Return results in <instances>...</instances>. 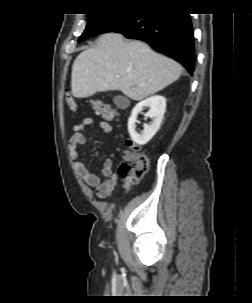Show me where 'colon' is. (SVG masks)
<instances>
[{
    "label": "colon",
    "instance_id": "1",
    "mask_svg": "<svg viewBox=\"0 0 252 303\" xmlns=\"http://www.w3.org/2000/svg\"><path fill=\"white\" fill-rule=\"evenodd\" d=\"M93 109L100 114L104 121H112L116 115V108L100 101L93 100ZM66 104L70 111L77 110V104L74 97H68ZM148 169V157L143 152H140L136 147L123 153V161L119 167V174L124 179L127 185L137 183Z\"/></svg>",
    "mask_w": 252,
    "mask_h": 303
}]
</instances>
